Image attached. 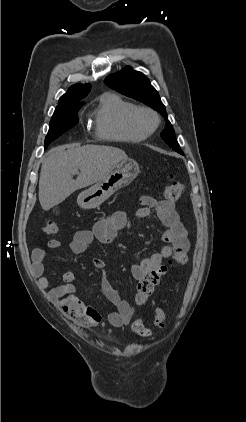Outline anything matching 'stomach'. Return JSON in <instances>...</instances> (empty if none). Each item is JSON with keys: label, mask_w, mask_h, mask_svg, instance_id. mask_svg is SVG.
Segmentation results:
<instances>
[{"label": "stomach", "mask_w": 246, "mask_h": 422, "mask_svg": "<svg viewBox=\"0 0 246 422\" xmlns=\"http://www.w3.org/2000/svg\"><path fill=\"white\" fill-rule=\"evenodd\" d=\"M138 173L139 165L133 159L117 162L103 179L79 194V206L84 209L98 207L116 191L128 186Z\"/></svg>", "instance_id": "0dacf381"}]
</instances>
